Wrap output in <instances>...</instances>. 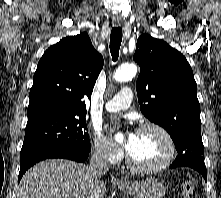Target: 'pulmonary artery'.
<instances>
[{"instance_id": "obj_1", "label": "pulmonary artery", "mask_w": 221, "mask_h": 198, "mask_svg": "<svg viewBox=\"0 0 221 198\" xmlns=\"http://www.w3.org/2000/svg\"><path fill=\"white\" fill-rule=\"evenodd\" d=\"M132 91L130 88H123L118 94H116L111 100L106 102L105 109L108 112H117L127 109L132 101Z\"/></svg>"}]
</instances>
